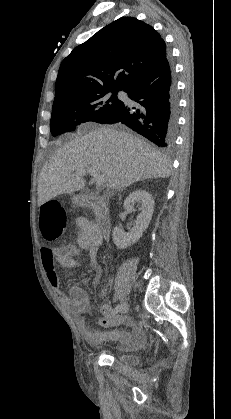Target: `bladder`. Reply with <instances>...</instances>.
Masks as SVG:
<instances>
[{
  "label": "bladder",
  "mask_w": 231,
  "mask_h": 419,
  "mask_svg": "<svg viewBox=\"0 0 231 419\" xmlns=\"http://www.w3.org/2000/svg\"><path fill=\"white\" fill-rule=\"evenodd\" d=\"M116 361L127 367H134L139 364V357L135 354L116 352L114 355Z\"/></svg>",
  "instance_id": "bladder-1"
}]
</instances>
